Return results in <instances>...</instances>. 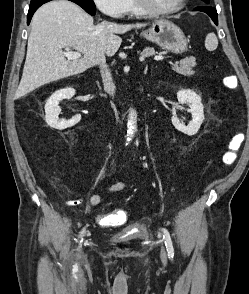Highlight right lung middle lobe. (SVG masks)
Returning <instances> with one entry per match:
<instances>
[{
	"label": "right lung middle lobe",
	"instance_id": "right-lung-middle-lobe-1",
	"mask_svg": "<svg viewBox=\"0 0 249 294\" xmlns=\"http://www.w3.org/2000/svg\"><path fill=\"white\" fill-rule=\"evenodd\" d=\"M50 0H31V5H36L42 2H46ZM79 6H81L86 12H88L90 15H95L96 13V7L93 0H70Z\"/></svg>",
	"mask_w": 249,
	"mask_h": 294
}]
</instances>
